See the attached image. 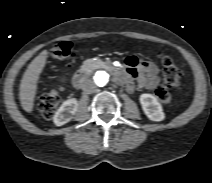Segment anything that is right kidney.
Instances as JSON below:
<instances>
[{
	"label": "right kidney",
	"instance_id": "1",
	"mask_svg": "<svg viewBox=\"0 0 212 183\" xmlns=\"http://www.w3.org/2000/svg\"><path fill=\"white\" fill-rule=\"evenodd\" d=\"M78 108V101L75 98L68 99L63 102L53 117L56 126H62L68 123Z\"/></svg>",
	"mask_w": 212,
	"mask_h": 183
}]
</instances>
